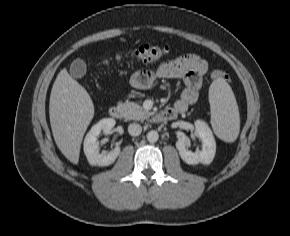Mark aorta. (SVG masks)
<instances>
[{
    "instance_id": "aorta-1",
    "label": "aorta",
    "mask_w": 290,
    "mask_h": 236,
    "mask_svg": "<svg viewBox=\"0 0 290 236\" xmlns=\"http://www.w3.org/2000/svg\"><path fill=\"white\" fill-rule=\"evenodd\" d=\"M159 139V134L157 131L155 130H151L147 133V140L150 142V143H155L157 142Z\"/></svg>"
}]
</instances>
